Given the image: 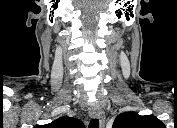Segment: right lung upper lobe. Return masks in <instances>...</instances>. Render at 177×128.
Returning a JSON list of instances; mask_svg holds the SVG:
<instances>
[{
	"label": "right lung upper lobe",
	"instance_id": "obj_1",
	"mask_svg": "<svg viewBox=\"0 0 177 128\" xmlns=\"http://www.w3.org/2000/svg\"><path fill=\"white\" fill-rule=\"evenodd\" d=\"M50 128H83V123L73 117H60L48 125Z\"/></svg>",
	"mask_w": 177,
	"mask_h": 128
}]
</instances>
